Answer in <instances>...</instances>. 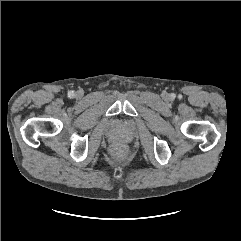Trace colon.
I'll return each instance as SVG.
<instances>
[{"label":"colon","mask_w":241,"mask_h":241,"mask_svg":"<svg viewBox=\"0 0 241 241\" xmlns=\"http://www.w3.org/2000/svg\"><path fill=\"white\" fill-rule=\"evenodd\" d=\"M123 148L120 146H115L111 149V153L114 157L120 158L123 155Z\"/></svg>","instance_id":"5ec220e1"}]
</instances>
